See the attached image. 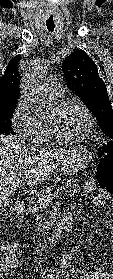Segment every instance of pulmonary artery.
Wrapping results in <instances>:
<instances>
[{
    "label": "pulmonary artery",
    "mask_w": 113,
    "mask_h": 279,
    "mask_svg": "<svg viewBox=\"0 0 113 279\" xmlns=\"http://www.w3.org/2000/svg\"><path fill=\"white\" fill-rule=\"evenodd\" d=\"M44 89L50 97H59L62 94L58 79L54 76L47 77L44 83Z\"/></svg>",
    "instance_id": "1"
}]
</instances>
